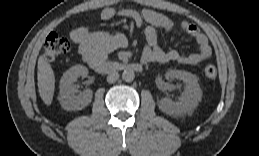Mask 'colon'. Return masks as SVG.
Returning a JSON list of instances; mask_svg holds the SVG:
<instances>
[{
	"label": "colon",
	"mask_w": 259,
	"mask_h": 156,
	"mask_svg": "<svg viewBox=\"0 0 259 156\" xmlns=\"http://www.w3.org/2000/svg\"><path fill=\"white\" fill-rule=\"evenodd\" d=\"M70 50V43L67 39L58 36L55 33L48 35L45 41L44 56L49 61H54ZM204 76L208 79H214L217 75V69L214 65H207L203 70Z\"/></svg>",
	"instance_id": "colon-1"
}]
</instances>
